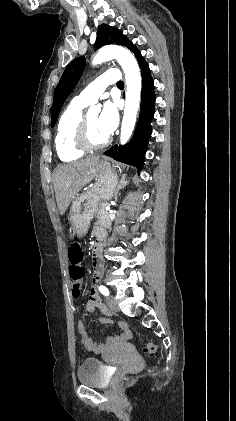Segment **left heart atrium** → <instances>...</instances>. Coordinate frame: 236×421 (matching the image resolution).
I'll use <instances>...</instances> for the list:
<instances>
[{"mask_svg": "<svg viewBox=\"0 0 236 421\" xmlns=\"http://www.w3.org/2000/svg\"><path fill=\"white\" fill-rule=\"evenodd\" d=\"M99 124L102 130L110 135L118 125V112L114 102L108 101L104 105V109L99 117Z\"/></svg>", "mask_w": 236, "mask_h": 421, "instance_id": "obj_1", "label": "left heart atrium"}]
</instances>
